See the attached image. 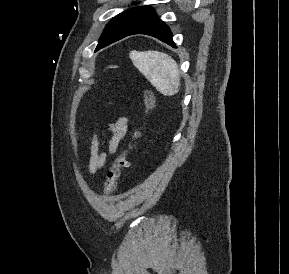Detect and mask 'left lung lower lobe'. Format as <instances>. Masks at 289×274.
I'll use <instances>...</instances> for the list:
<instances>
[{"label": "left lung lower lobe", "mask_w": 289, "mask_h": 274, "mask_svg": "<svg viewBox=\"0 0 289 274\" xmlns=\"http://www.w3.org/2000/svg\"><path fill=\"white\" fill-rule=\"evenodd\" d=\"M134 34H146L153 37L158 38L159 40L169 44L170 46L176 48L175 43L172 39V33L169 29V27L163 23L155 13H153L148 19H146L144 22H142L138 27H136L133 31L126 34L124 37H127L129 35ZM122 37V38H124ZM120 38V39H122ZM119 39V40H120ZM118 41V40H117ZM116 42V41H114ZM113 43V42H112ZM111 44V43H110ZM109 44H105L99 48H96L95 51L108 46Z\"/></svg>", "instance_id": "0a47b994"}]
</instances>
